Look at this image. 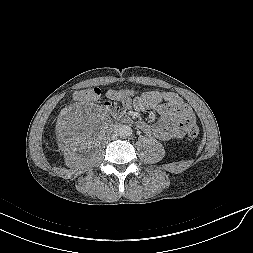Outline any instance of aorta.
<instances>
[{
    "label": "aorta",
    "instance_id": "1",
    "mask_svg": "<svg viewBox=\"0 0 253 253\" xmlns=\"http://www.w3.org/2000/svg\"><path fill=\"white\" fill-rule=\"evenodd\" d=\"M117 131H118V134L124 138L129 137L132 134V129L128 125H122L118 127Z\"/></svg>",
    "mask_w": 253,
    "mask_h": 253
}]
</instances>
